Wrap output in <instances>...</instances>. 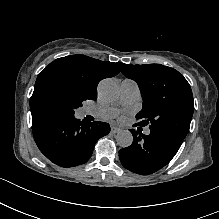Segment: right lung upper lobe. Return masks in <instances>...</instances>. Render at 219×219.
Here are the masks:
<instances>
[{"mask_svg": "<svg viewBox=\"0 0 219 219\" xmlns=\"http://www.w3.org/2000/svg\"><path fill=\"white\" fill-rule=\"evenodd\" d=\"M123 63L105 62L85 55H71L51 62L37 77L35 85L50 76H58L78 85L88 100H96L97 85L117 75Z\"/></svg>", "mask_w": 219, "mask_h": 219, "instance_id": "right-lung-upper-lobe-1", "label": "right lung upper lobe"}]
</instances>
